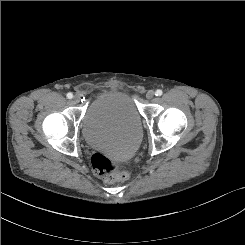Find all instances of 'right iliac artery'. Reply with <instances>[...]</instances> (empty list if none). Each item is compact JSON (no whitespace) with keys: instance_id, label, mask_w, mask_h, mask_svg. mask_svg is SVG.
Wrapping results in <instances>:
<instances>
[{"instance_id":"1","label":"right iliac artery","mask_w":245,"mask_h":245,"mask_svg":"<svg viewBox=\"0 0 245 245\" xmlns=\"http://www.w3.org/2000/svg\"><path fill=\"white\" fill-rule=\"evenodd\" d=\"M67 98H68V99L73 98V94H72V93H67Z\"/></svg>"}]
</instances>
